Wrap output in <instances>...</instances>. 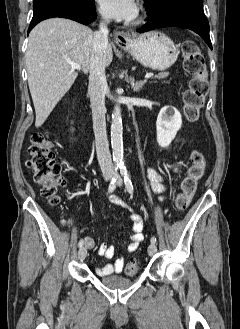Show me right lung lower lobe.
Segmentation results:
<instances>
[{"instance_id":"obj_1","label":"right lung lower lobe","mask_w":240,"mask_h":329,"mask_svg":"<svg viewBox=\"0 0 240 329\" xmlns=\"http://www.w3.org/2000/svg\"><path fill=\"white\" fill-rule=\"evenodd\" d=\"M33 18L31 20L28 33L40 21L61 17L77 21L88 25L95 20V0L89 5H74L60 1L40 0L33 4Z\"/></svg>"}]
</instances>
